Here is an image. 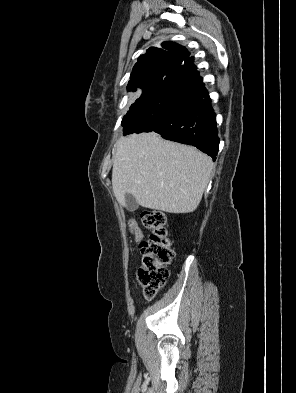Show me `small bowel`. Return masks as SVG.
I'll return each mask as SVG.
<instances>
[{"instance_id":"small-bowel-1","label":"small bowel","mask_w":296,"mask_h":393,"mask_svg":"<svg viewBox=\"0 0 296 393\" xmlns=\"http://www.w3.org/2000/svg\"><path fill=\"white\" fill-rule=\"evenodd\" d=\"M154 297H146V301H151Z\"/></svg>"}]
</instances>
